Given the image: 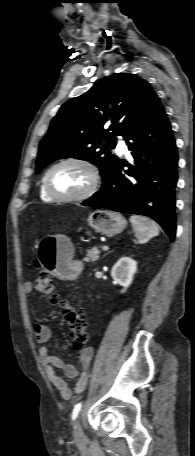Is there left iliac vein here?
<instances>
[{"mask_svg": "<svg viewBox=\"0 0 195 456\" xmlns=\"http://www.w3.org/2000/svg\"><path fill=\"white\" fill-rule=\"evenodd\" d=\"M74 438L76 441H81L84 437L83 429L81 426L80 418H76L74 421Z\"/></svg>", "mask_w": 195, "mask_h": 456, "instance_id": "left-iliac-vein-1", "label": "left iliac vein"}]
</instances>
